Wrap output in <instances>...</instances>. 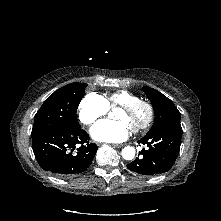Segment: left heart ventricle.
<instances>
[{
  "label": "left heart ventricle",
  "instance_id": "b2bd125f",
  "mask_svg": "<svg viewBox=\"0 0 221 221\" xmlns=\"http://www.w3.org/2000/svg\"><path fill=\"white\" fill-rule=\"evenodd\" d=\"M115 119L125 121L131 128L144 121L146 118V110L144 107H139L133 112H126L121 109H117L114 114Z\"/></svg>",
  "mask_w": 221,
  "mask_h": 221
}]
</instances>
